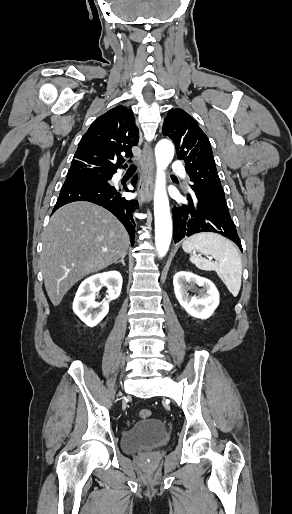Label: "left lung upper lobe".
Here are the masks:
<instances>
[{
  "label": "left lung upper lobe",
  "instance_id": "left-lung-upper-lobe-1",
  "mask_svg": "<svg viewBox=\"0 0 292 514\" xmlns=\"http://www.w3.org/2000/svg\"><path fill=\"white\" fill-rule=\"evenodd\" d=\"M162 133L172 139L177 158L185 161L193 194L225 199L210 142L197 122L184 110L173 109L164 120Z\"/></svg>",
  "mask_w": 292,
  "mask_h": 514
}]
</instances>
